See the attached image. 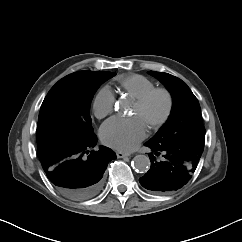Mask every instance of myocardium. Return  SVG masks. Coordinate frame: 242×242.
<instances>
[{
    "label": "myocardium",
    "instance_id": "myocardium-1",
    "mask_svg": "<svg viewBox=\"0 0 242 242\" xmlns=\"http://www.w3.org/2000/svg\"><path fill=\"white\" fill-rule=\"evenodd\" d=\"M157 95H163L166 99V110L161 118L152 122L148 128L150 130H158L165 126L170 120L174 111V98L172 93L163 87H158L150 90L146 94L136 99V103L140 106L146 105L150 100H152Z\"/></svg>",
    "mask_w": 242,
    "mask_h": 242
}]
</instances>
